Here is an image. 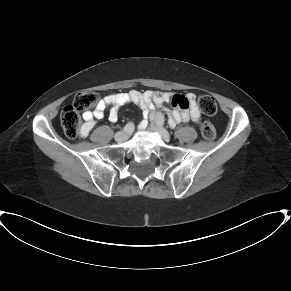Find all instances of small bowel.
<instances>
[{"mask_svg":"<svg viewBox=\"0 0 291 291\" xmlns=\"http://www.w3.org/2000/svg\"><path fill=\"white\" fill-rule=\"evenodd\" d=\"M176 102V107L170 114V121L173 124L179 122H187L192 120L198 122L200 119V110L196 101V96L192 93L181 95L171 94L167 91H146L139 92L130 90L126 93H111L106 95L96 106L93 111L83 113V124L80 129V136L87 137L97 121L104 117V113L109 109L108 119L111 122H116L119 117V109L126 103L137 104L143 114L146 116L149 109L152 107L160 108L163 103ZM188 104L187 108H183L184 104ZM142 127L146 126L145 121L141 123Z\"/></svg>","mask_w":291,"mask_h":291,"instance_id":"1","label":"small bowel"}]
</instances>
